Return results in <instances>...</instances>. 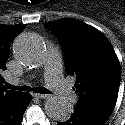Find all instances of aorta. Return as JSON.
Returning <instances> with one entry per match:
<instances>
[{
	"instance_id": "762f6f07",
	"label": "aorta",
	"mask_w": 125,
	"mask_h": 125,
	"mask_svg": "<svg viewBox=\"0 0 125 125\" xmlns=\"http://www.w3.org/2000/svg\"><path fill=\"white\" fill-rule=\"evenodd\" d=\"M16 58L24 65L33 66L40 62L44 51L43 41L34 34L25 33L13 44ZM46 114L55 121H67L72 115V107L65 98L52 96L45 102Z\"/></svg>"
}]
</instances>
